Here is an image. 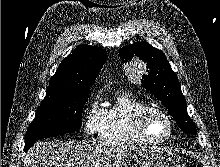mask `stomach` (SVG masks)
I'll return each instance as SVG.
<instances>
[{"instance_id": "obj_1", "label": "stomach", "mask_w": 220, "mask_h": 167, "mask_svg": "<svg viewBox=\"0 0 220 167\" xmlns=\"http://www.w3.org/2000/svg\"><path fill=\"white\" fill-rule=\"evenodd\" d=\"M116 167H185L182 159L160 148L130 147Z\"/></svg>"}]
</instances>
